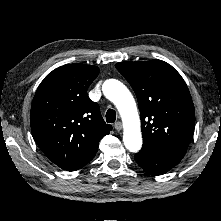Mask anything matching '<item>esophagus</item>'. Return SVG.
Returning <instances> with one entry per match:
<instances>
[{"mask_svg":"<svg viewBox=\"0 0 221 221\" xmlns=\"http://www.w3.org/2000/svg\"><path fill=\"white\" fill-rule=\"evenodd\" d=\"M114 128L117 130V131H121L122 130V123L120 121L116 122L114 124Z\"/></svg>","mask_w":221,"mask_h":221,"instance_id":"obj_1","label":"esophagus"}]
</instances>
